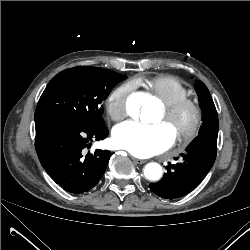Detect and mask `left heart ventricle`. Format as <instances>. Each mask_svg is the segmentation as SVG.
<instances>
[{
	"instance_id": "b2bd125f",
	"label": "left heart ventricle",
	"mask_w": 250,
	"mask_h": 250,
	"mask_svg": "<svg viewBox=\"0 0 250 250\" xmlns=\"http://www.w3.org/2000/svg\"><path fill=\"white\" fill-rule=\"evenodd\" d=\"M190 120H191V115L189 113H185L180 117V119L178 120L176 126L178 128H184L189 124ZM156 123L157 124H164L174 136L175 128L165 122V120H164V112L161 115V117L156 121Z\"/></svg>"
}]
</instances>
